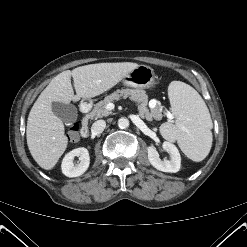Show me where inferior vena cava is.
Returning a JSON list of instances; mask_svg holds the SVG:
<instances>
[{
    "label": "inferior vena cava",
    "instance_id": "obj_1",
    "mask_svg": "<svg viewBox=\"0 0 247 247\" xmlns=\"http://www.w3.org/2000/svg\"><path fill=\"white\" fill-rule=\"evenodd\" d=\"M106 127V122L104 120H98L96 122L93 123L92 127H91V132L92 134H100L104 131Z\"/></svg>",
    "mask_w": 247,
    "mask_h": 247
}]
</instances>
